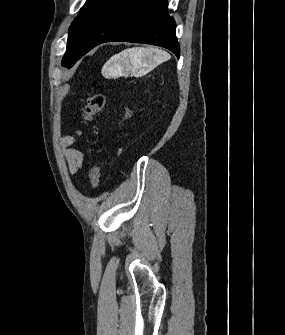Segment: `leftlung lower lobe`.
Instances as JSON below:
<instances>
[{
    "label": "left lung lower lobe",
    "mask_w": 285,
    "mask_h": 335,
    "mask_svg": "<svg viewBox=\"0 0 285 335\" xmlns=\"http://www.w3.org/2000/svg\"><path fill=\"white\" fill-rule=\"evenodd\" d=\"M167 6V0H111L85 34L80 58L95 46L111 41L162 46L179 58L176 23Z\"/></svg>",
    "instance_id": "0a47b994"
}]
</instances>
